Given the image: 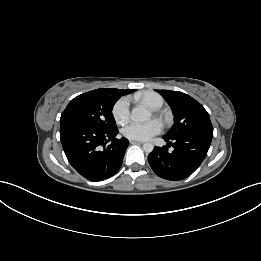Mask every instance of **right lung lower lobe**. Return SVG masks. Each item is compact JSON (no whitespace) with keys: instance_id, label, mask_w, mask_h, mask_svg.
Listing matches in <instances>:
<instances>
[{"instance_id":"right-lung-lower-lobe-1","label":"right lung lower lobe","mask_w":261,"mask_h":261,"mask_svg":"<svg viewBox=\"0 0 261 261\" xmlns=\"http://www.w3.org/2000/svg\"><path fill=\"white\" fill-rule=\"evenodd\" d=\"M118 129L102 131L90 126L61 122L60 138L69 163L90 181H102L120 169L129 145L116 139ZM108 139L112 140L107 145Z\"/></svg>"}]
</instances>
